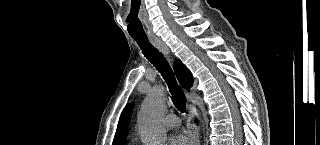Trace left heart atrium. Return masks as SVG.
Segmentation results:
<instances>
[{
  "instance_id": "1",
  "label": "left heart atrium",
  "mask_w": 320,
  "mask_h": 145,
  "mask_svg": "<svg viewBox=\"0 0 320 145\" xmlns=\"http://www.w3.org/2000/svg\"><path fill=\"white\" fill-rule=\"evenodd\" d=\"M170 145H188V139L182 134L173 135L169 141Z\"/></svg>"
}]
</instances>
